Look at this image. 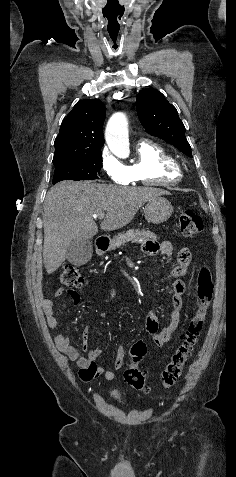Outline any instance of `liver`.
Returning <instances> with one entry per match:
<instances>
[{
  "instance_id": "obj_1",
  "label": "liver",
  "mask_w": 236,
  "mask_h": 477,
  "mask_svg": "<svg viewBox=\"0 0 236 477\" xmlns=\"http://www.w3.org/2000/svg\"><path fill=\"white\" fill-rule=\"evenodd\" d=\"M167 194L153 187L74 181L56 184L47 192L44 203L43 262L47 273L62 265L74 239H91L98 233L94 214L106 212L100 224L102 230H117L129 224L143 204Z\"/></svg>"
}]
</instances>
